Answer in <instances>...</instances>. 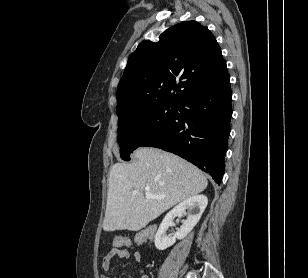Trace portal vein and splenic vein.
<instances>
[{
    "label": "portal vein and splenic vein",
    "mask_w": 308,
    "mask_h": 278,
    "mask_svg": "<svg viewBox=\"0 0 308 278\" xmlns=\"http://www.w3.org/2000/svg\"><path fill=\"white\" fill-rule=\"evenodd\" d=\"M133 194H136L138 191L137 190H133L132 191ZM145 194H146V197L147 198H154V199H163L165 196H158V195H153L150 193V188L149 187H146L145 188Z\"/></svg>",
    "instance_id": "portal-vein-and-splenic-vein-1"
}]
</instances>
